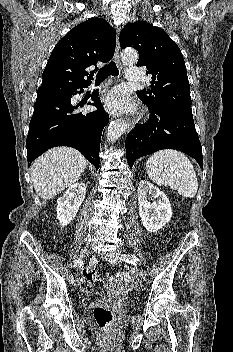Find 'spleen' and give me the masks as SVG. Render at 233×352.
<instances>
[{
  "label": "spleen",
  "mask_w": 233,
  "mask_h": 352,
  "mask_svg": "<svg viewBox=\"0 0 233 352\" xmlns=\"http://www.w3.org/2000/svg\"><path fill=\"white\" fill-rule=\"evenodd\" d=\"M146 171L157 185H167L183 197L192 198L197 193L194 167L180 151L165 149L154 153L146 162Z\"/></svg>",
  "instance_id": "spleen-1"
}]
</instances>
